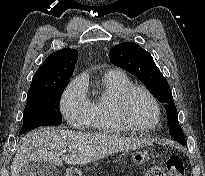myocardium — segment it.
Returning <instances> with one entry per match:
<instances>
[{
  "label": "myocardium",
  "mask_w": 205,
  "mask_h": 176,
  "mask_svg": "<svg viewBox=\"0 0 205 176\" xmlns=\"http://www.w3.org/2000/svg\"><path fill=\"white\" fill-rule=\"evenodd\" d=\"M137 92L145 94L148 99L151 101L154 110H155V120L152 124L149 125H141L133 122L128 114V102L130 98ZM117 113L121 121L128 126V128L137 130V131H146L153 127H156L161 122L162 113L159 101L155 97V95L146 87L140 85H131L127 89H125L117 99Z\"/></svg>",
  "instance_id": "f54148a6"
}]
</instances>
